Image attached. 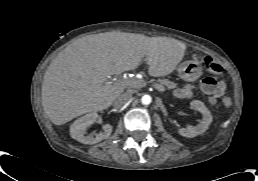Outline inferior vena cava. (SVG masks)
I'll return each instance as SVG.
<instances>
[{
	"instance_id": "602c4592",
	"label": "inferior vena cava",
	"mask_w": 258,
	"mask_h": 181,
	"mask_svg": "<svg viewBox=\"0 0 258 181\" xmlns=\"http://www.w3.org/2000/svg\"><path fill=\"white\" fill-rule=\"evenodd\" d=\"M132 94L129 92H125L120 94L117 99L115 100V105L118 108L123 107L131 100Z\"/></svg>"
}]
</instances>
